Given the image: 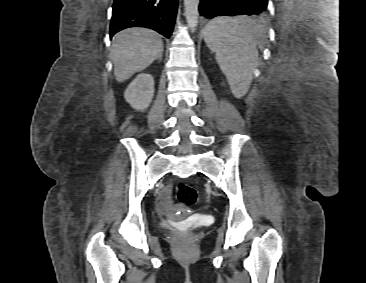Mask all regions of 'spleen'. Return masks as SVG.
Masks as SVG:
<instances>
[{
  "mask_svg": "<svg viewBox=\"0 0 366 283\" xmlns=\"http://www.w3.org/2000/svg\"><path fill=\"white\" fill-rule=\"evenodd\" d=\"M259 34L253 22L229 17L216 18L204 29L205 43L215 53L220 70L237 98L249 91L259 56L256 46Z\"/></svg>",
  "mask_w": 366,
  "mask_h": 283,
  "instance_id": "spleen-1",
  "label": "spleen"
}]
</instances>
